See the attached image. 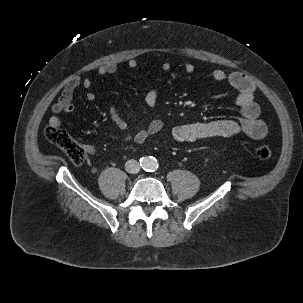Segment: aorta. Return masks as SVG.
Returning a JSON list of instances; mask_svg holds the SVG:
<instances>
[{
    "label": "aorta",
    "mask_w": 303,
    "mask_h": 303,
    "mask_svg": "<svg viewBox=\"0 0 303 303\" xmlns=\"http://www.w3.org/2000/svg\"><path fill=\"white\" fill-rule=\"evenodd\" d=\"M142 167L146 171H155L158 168V161L156 158L150 156V157H145L142 160Z\"/></svg>",
    "instance_id": "762f6f07"
}]
</instances>
